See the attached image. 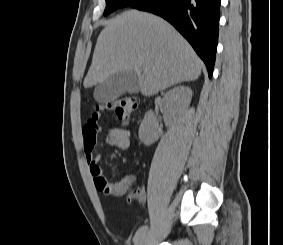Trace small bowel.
Returning a JSON list of instances; mask_svg holds the SVG:
<instances>
[{"label": "small bowel", "mask_w": 283, "mask_h": 245, "mask_svg": "<svg viewBox=\"0 0 283 245\" xmlns=\"http://www.w3.org/2000/svg\"><path fill=\"white\" fill-rule=\"evenodd\" d=\"M101 131L98 119L90 118L82 128L83 148L90 174L95 188L106 196L124 195L132 183L131 177H126L117 182H110L106 179L99 161L100 154H95L96 138ZM105 144L117 147L121 150L129 149L131 145V132L125 128H106Z\"/></svg>", "instance_id": "c3829d8e"}]
</instances>
